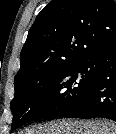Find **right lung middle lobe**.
Instances as JSON below:
<instances>
[{
    "label": "right lung middle lobe",
    "mask_w": 116,
    "mask_h": 134,
    "mask_svg": "<svg viewBox=\"0 0 116 134\" xmlns=\"http://www.w3.org/2000/svg\"><path fill=\"white\" fill-rule=\"evenodd\" d=\"M97 71L95 62H79L23 88L11 101V130L63 114L81 98Z\"/></svg>",
    "instance_id": "1"
}]
</instances>
